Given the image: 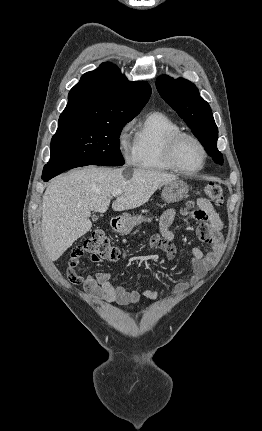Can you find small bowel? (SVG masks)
<instances>
[{
	"mask_svg": "<svg viewBox=\"0 0 262 431\" xmlns=\"http://www.w3.org/2000/svg\"><path fill=\"white\" fill-rule=\"evenodd\" d=\"M196 206L198 209L197 215L201 221L198 234L200 239L210 246V250L205 252L198 247L191 249L190 273L186 275L182 282L175 285L173 289V295L175 296L185 293L190 287L196 285L211 270L222 250L221 230L223 223L214 210L212 203L206 198L199 197L196 199ZM175 214V209H169L162 215L160 230L166 244L156 247V249L163 251L169 259H172L176 254V247L173 244L174 235L170 229ZM74 283L82 285L90 296L109 303L125 306L136 304L139 301V294L136 291L127 290L122 286H114L107 272H99L95 277H76ZM143 294L149 300L155 301L158 299L160 291L145 290Z\"/></svg>",
	"mask_w": 262,
	"mask_h": 431,
	"instance_id": "small-bowel-1",
	"label": "small bowel"
}]
</instances>
